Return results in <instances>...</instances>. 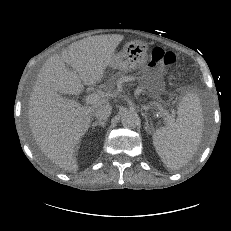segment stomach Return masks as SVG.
<instances>
[{
  "label": "stomach",
  "instance_id": "1",
  "mask_svg": "<svg viewBox=\"0 0 231 231\" xmlns=\"http://www.w3.org/2000/svg\"><path fill=\"white\" fill-rule=\"evenodd\" d=\"M147 52L148 46L142 40L129 41L119 53L113 56L110 67L121 73L135 70L143 63ZM140 80L143 88L154 97H157L164 87L163 78L157 73H147Z\"/></svg>",
  "mask_w": 231,
  "mask_h": 231
}]
</instances>
